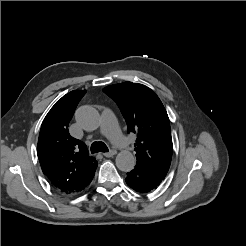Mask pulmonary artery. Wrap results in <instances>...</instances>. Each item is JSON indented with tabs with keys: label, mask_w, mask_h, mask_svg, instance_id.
<instances>
[{
	"label": "pulmonary artery",
	"mask_w": 246,
	"mask_h": 246,
	"mask_svg": "<svg viewBox=\"0 0 246 246\" xmlns=\"http://www.w3.org/2000/svg\"><path fill=\"white\" fill-rule=\"evenodd\" d=\"M101 132L107 136L116 146L123 149L129 148V142L127 138L119 129L114 114L108 109L104 110L102 113Z\"/></svg>",
	"instance_id": "1"
}]
</instances>
